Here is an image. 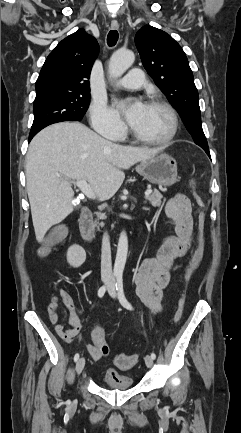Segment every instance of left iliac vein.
<instances>
[{
    "instance_id": "1",
    "label": "left iliac vein",
    "mask_w": 241,
    "mask_h": 433,
    "mask_svg": "<svg viewBox=\"0 0 241 433\" xmlns=\"http://www.w3.org/2000/svg\"><path fill=\"white\" fill-rule=\"evenodd\" d=\"M108 293L112 298L116 297L115 282L113 280L109 283ZM145 364L149 368L153 366V359L150 355L145 356Z\"/></svg>"
}]
</instances>
